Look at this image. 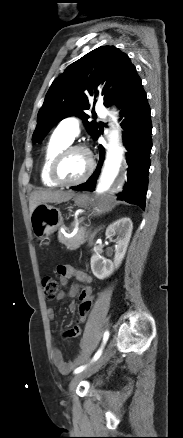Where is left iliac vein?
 I'll return each mask as SVG.
<instances>
[{"mask_svg":"<svg viewBox=\"0 0 183 438\" xmlns=\"http://www.w3.org/2000/svg\"><path fill=\"white\" fill-rule=\"evenodd\" d=\"M114 345V342H111L108 346V348L103 352V354L99 357V359L92 364L89 368H87L86 370L77 373L70 381L69 384V390L70 392H73L75 390V388L77 387V385L79 384V382L81 380H83L84 378L94 374L95 372H97L104 364L107 363V361L110 359L111 357V350L112 347Z\"/></svg>","mask_w":183,"mask_h":438,"instance_id":"1","label":"left iliac vein"}]
</instances>
